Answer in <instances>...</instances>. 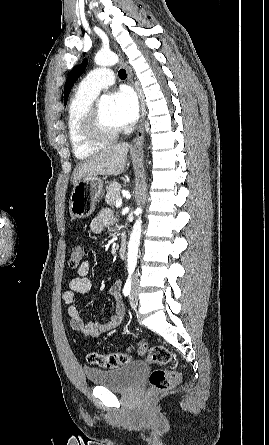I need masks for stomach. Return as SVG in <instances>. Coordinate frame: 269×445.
Returning <instances> with one entry per match:
<instances>
[{
  "mask_svg": "<svg viewBox=\"0 0 269 445\" xmlns=\"http://www.w3.org/2000/svg\"><path fill=\"white\" fill-rule=\"evenodd\" d=\"M103 193V179L98 176L82 178L73 188L69 200V211L74 218L90 216Z\"/></svg>",
  "mask_w": 269,
  "mask_h": 445,
  "instance_id": "stomach-1",
  "label": "stomach"
}]
</instances>
